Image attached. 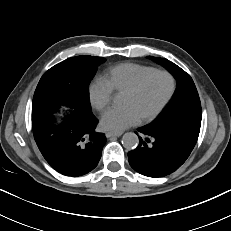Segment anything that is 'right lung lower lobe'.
Segmentation results:
<instances>
[{
    "mask_svg": "<svg viewBox=\"0 0 231 231\" xmlns=\"http://www.w3.org/2000/svg\"><path fill=\"white\" fill-rule=\"evenodd\" d=\"M55 124L51 113L32 117L34 139L45 160L59 173L77 177L93 170L102 154L106 137L95 131L93 116L73 114Z\"/></svg>",
    "mask_w": 231,
    "mask_h": 231,
    "instance_id": "98d812e1",
    "label": "right lung lower lobe"
}]
</instances>
